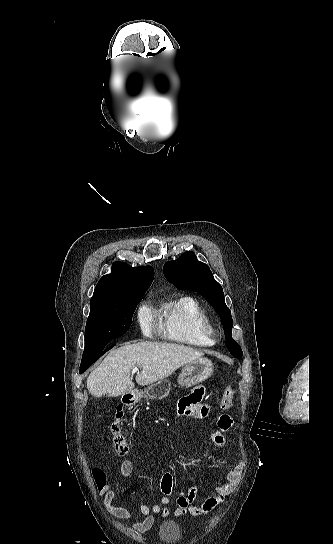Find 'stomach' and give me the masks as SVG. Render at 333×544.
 Returning <instances> with one entry per match:
<instances>
[{"label":"stomach","mask_w":333,"mask_h":544,"mask_svg":"<svg viewBox=\"0 0 333 544\" xmlns=\"http://www.w3.org/2000/svg\"><path fill=\"white\" fill-rule=\"evenodd\" d=\"M214 367L210 360L200 358L186 364L178 377V383L181 386L191 387L203 382L211 376ZM171 390V383L167 379H162L149 384L144 390H133L129 393V404H135L142 398L161 400L167 397ZM128 404V403H127Z\"/></svg>","instance_id":"obj_1"}]
</instances>
